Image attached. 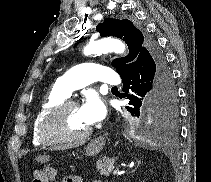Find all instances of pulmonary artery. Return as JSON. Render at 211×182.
<instances>
[{"instance_id":"e3ab8cb5","label":"pulmonary artery","mask_w":211,"mask_h":182,"mask_svg":"<svg viewBox=\"0 0 211 182\" xmlns=\"http://www.w3.org/2000/svg\"><path fill=\"white\" fill-rule=\"evenodd\" d=\"M95 81H103L111 85L120 83V79L113 69L95 63H83L64 73L56 81L55 88L66 97H69L74 90Z\"/></svg>"}]
</instances>
